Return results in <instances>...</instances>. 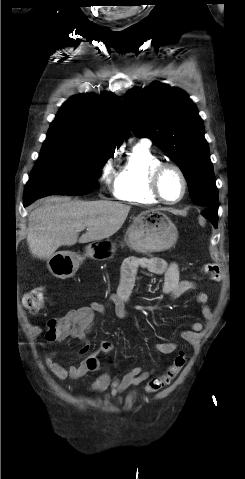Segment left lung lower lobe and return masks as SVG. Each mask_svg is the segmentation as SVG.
I'll return each instance as SVG.
<instances>
[{
    "instance_id": "0a47b994",
    "label": "left lung lower lobe",
    "mask_w": 245,
    "mask_h": 479,
    "mask_svg": "<svg viewBox=\"0 0 245 479\" xmlns=\"http://www.w3.org/2000/svg\"><path fill=\"white\" fill-rule=\"evenodd\" d=\"M202 215L207 218L217 228L218 223V207L217 205L205 208Z\"/></svg>"
}]
</instances>
